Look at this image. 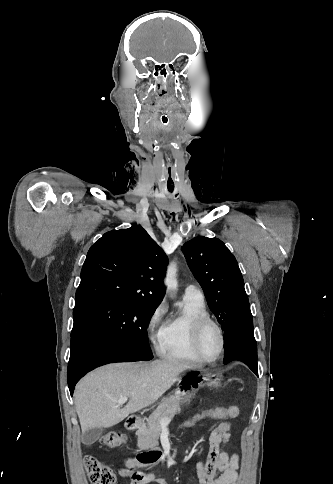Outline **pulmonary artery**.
Segmentation results:
<instances>
[{"label": "pulmonary artery", "mask_w": 333, "mask_h": 484, "mask_svg": "<svg viewBox=\"0 0 333 484\" xmlns=\"http://www.w3.org/2000/svg\"><path fill=\"white\" fill-rule=\"evenodd\" d=\"M184 296H191L201 299L204 298L201 288L194 284H190L185 288Z\"/></svg>", "instance_id": "pulmonary-artery-1"}]
</instances>
